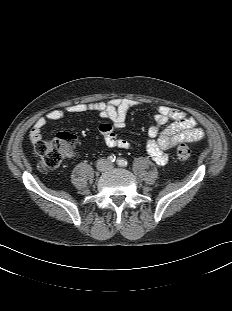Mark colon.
<instances>
[{
	"mask_svg": "<svg viewBox=\"0 0 232 311\" xmlns=\"http://www.w3.org/2000/svg\"><path fill=\"white\" fill-rule=\"evenodd\" d=\"M73 145V137L68 133H61L51 139H42L35 143L34 151L39 159V167L43 170L56 169ZM176 156L181 161H186L191 156L190 148L179 144Z\"/></svg>",
	"mask_w": 232,
	"mask_h": 311,
	"instance_id": "colon-1",
	"label": "colon"
}]
</instances>
